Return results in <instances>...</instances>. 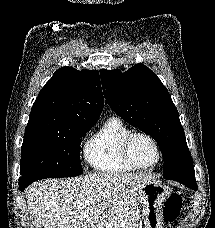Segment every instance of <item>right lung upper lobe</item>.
I'll list each match as a JSON object with an SVG mask.
<instances>
[{"label": "right lung upper lobe", "instance_id": "1", "mask_svg": "<svg viewBox=\"0 0 215 228\" xmlns=\"http://www.w3.org/2000/svg\"><path fill=\"white\" fill-rule=\"evenodd\" d=\"M103 104L98 71L61 67L40 91L32 106L25 132L96 122Z\"/></svg>", "mask_w": 215, "mask_h": 228}]
</instances>
